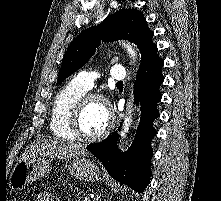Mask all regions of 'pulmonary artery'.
<instances>
[{"label": "pulmonary artery", "mask_w": 221, "mask_h": 201, "mask_svg": "<svg viewBox=\"0 0 221 201\" xmlns=\"http://www.w3.org/2000/svg\"><path fill=\"white\" fill-rule=\"evenodd\" d=\"M110 77L116 81H123L126 77V71L123 66L115 65L110 70ZM98 78L96 72L83 71L80 72L74 79V82L85 90H90L94 81Z\"/></svg>", "instance_id": "pulmonary-artery-1"}]
</instances>
